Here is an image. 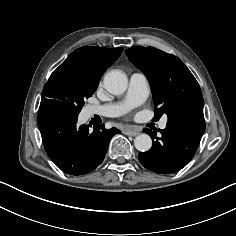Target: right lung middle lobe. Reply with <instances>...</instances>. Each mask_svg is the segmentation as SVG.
Segmentation results:
<instances>
[{"instance_id":"dd1d6c3e","label":"right lung middle lobe","mask_w":236,"mask_h":236,"mask_svg":"<svg viewBox=\"0 0 236 236\" xmlns=\"http://www.w3.org/2000/svg\"><path fill=\"white\" fill-rule=\"evenodd\" d=\"M98 84L79 78L71 72L54 70L44 85L41 101L55 99L80 112L85 100L92 96Z\"/></svg>"}]
</instances>
